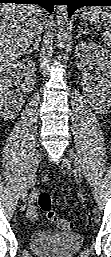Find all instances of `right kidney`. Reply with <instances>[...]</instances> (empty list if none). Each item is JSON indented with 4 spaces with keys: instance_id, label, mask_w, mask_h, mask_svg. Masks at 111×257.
<instances>
[{
    "instance_id": "right-kidney-1",
    "label": "right kidney",
    "mask_w": 111,
    "mask_h": 257,
    "mask_svg": "<svg viewBox=\"0 0 111 257\" xmlns=\"http://www.w3.org/2000/svg\"><path fill=\"white\" fill-rule=\"evenodd\" d=\"M36 67L31 60L18 61L1 71L0 103L3 115L14 118L21 108V91H29L34 84ZM24 81L21 83V81ZM16 86L13 90L12 87Z\"/></svg>"
}]
</instances>
